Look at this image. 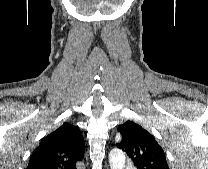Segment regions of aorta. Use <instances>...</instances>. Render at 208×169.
<instances>
[{
    "instance_id": "obj_1",
    "label": "aorta",
    "mask_w": 208,
    "mask_h": 169,
    "mask_svg": "<svg viewBox=\"0 0 208 169\" xmlns=\"http://www.w3.org/2000/svg\"><path fill=\"white\" fill-rule=\"evenodd\" d=\"M111 169H124L125 154L121 150H113L109 154Z\"/></svg>"
}]
</instances>
